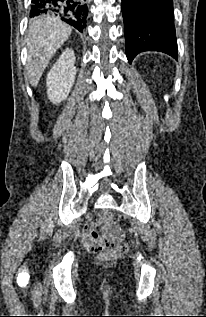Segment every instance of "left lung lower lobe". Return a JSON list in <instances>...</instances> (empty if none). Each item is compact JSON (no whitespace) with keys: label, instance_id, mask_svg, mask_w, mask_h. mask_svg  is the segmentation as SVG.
I'll use <instances>...</instances> for the list:
<instances>
[{"label":"left lung lower lobe","instance_id":"left-lung-lower-lobe-1","mask_svg":"<svg viewBox=\"0 0 206 317\" xmlns=\"http://www.w3.org/2000/svg\"><path fill=\"white\" fill-rule=\"evenodd\" d=\"M126 55L131 63L143 51L178 57L172 0H122Z\"/></svg>","mask_w":206,"mask_h":317}]
</instances>
